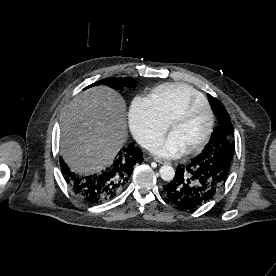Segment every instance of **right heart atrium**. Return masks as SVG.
Segmentation results:
<instances>
[{
    "mask_svg": "<svg viewBox=\"0 0 276 276\" xmlns=\"http://www.w3.org/2000/svg\"><path fill=\"white\" fill-rule=\"evenodd\" d=\"M129 120L134 136L147 148L156 143L169 126L151 101L140 97L135 98L131 104Z\"/></svg>",
    "mask_w": 276,
    "mask_h": 276,
    "instance_id": "d8ad5b80",
    "label": "right heart atrium"
}]
</instances>
